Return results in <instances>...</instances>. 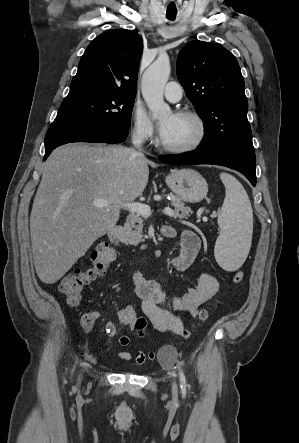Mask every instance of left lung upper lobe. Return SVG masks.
<instances>
[{"label": "left lung upper lobe", "mask_w": 299, "mask_h": 443, "mask_svg": "<svg viewBox=\"0 0 299 443\" xmlns=\"http://www.w3.org/2000/svg\"><path fill=\"white\" fill-rule=\"evenodd\" d=\"M177 77L204 123L200 151L254 152L244 79L234 55L218 44L188 43L177 59Z\"/></svg>", "instance_id": "obj_1"}]
</instances>
